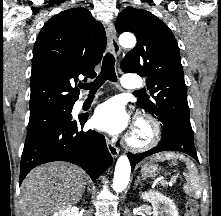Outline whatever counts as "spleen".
Here are the masks:
<instances>
[{
	"mask_svg": "<svg viewBox=\"0 0 221 216\" xmlns=\"http://www.w3.org/2000/svg\"><path fill=\"white\" fill-rule=\"evenodd\" d=\"M173 158H178L180 160L185 161L187 168H188V173L186 176L187 177L186 191L188 194L194 196L195 198H199L200 192H201V184H200V178L198 176L197 169L193 162L185 158L184 155L175 154L172 152L157 154L154 157V160L164 161L166 159H173Z\"/></svg>",
	"mask_w": 221,
	"mask_h": 216,
	"instance_id": "obj_1",
	"label": "spleen"
}]
</instances>
